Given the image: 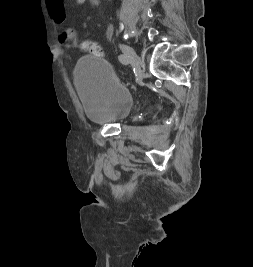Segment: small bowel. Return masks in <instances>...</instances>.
Listing matches in <instances>:
<instances>
[{"instance_id":"small-bowel-1","label":"small bowel","mask_w":253,"mask_h":267,"mask_svg":"<svg viewBox=\"0 0 253 267\" xmlns=\"http://www.w3.org/2000/svg\"><path fill=\"white\" fill-rule=\"evenodd\" d=\"M86 2V0H75L77 5H82ZM48 11L53 19V21L57 24H64L66 22V11L64 7V0H46ZM66 30L76 33V30L72 27H67ZM113 27L110 26L108 28V35L112 36ZM62 43V42H61ZM66 48H71L68 43H62Z\"/></svg>"}]
</instances>
